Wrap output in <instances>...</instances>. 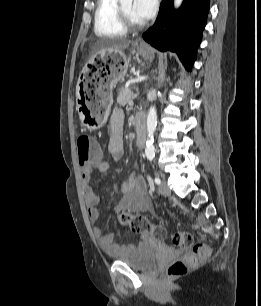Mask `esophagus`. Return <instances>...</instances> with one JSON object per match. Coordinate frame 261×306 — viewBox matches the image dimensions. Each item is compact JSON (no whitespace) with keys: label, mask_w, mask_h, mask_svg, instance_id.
Instances as JSON below:
<instances>
[{"label":"esophagus","mask_w":261,"mask_h":306,"mask_svg":"<svg viewBox=\"0 0 261 306\" xmlns=\"http://www.w3.org/2000/svg\"><path fill=\"white\" fill-rule=\"evenodd\" d=\"M140 47H141V48H147V45H146L145 43H141V44H140Z\"/></svg>","instance_id":"1"}]
</instances>
